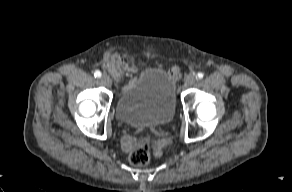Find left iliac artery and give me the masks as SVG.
<instances>
[{
	"label": "left iliac artery",
	"mask_w": 292,
	"mask_h": 192,
	"mask_svg": "<svg viewBox=\"0 0 292 192\" xmlns=\"http://www.w3.org/2000/svg\"><path fill=\"white\" fill-rule=\"evenodd\" d=\"M197 78H198V79H202V78H203V73L199 72V73L197 74Z\"/></svg>",
	"instance_id": "obj_1"
}]
</instances>
